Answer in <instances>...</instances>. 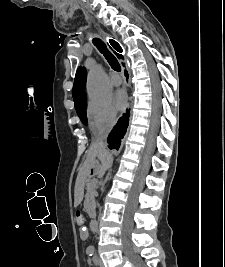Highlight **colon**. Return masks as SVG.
<instances>
[{
    "instance_id": "5ec220e1",
    "label": "colon",
    "mask_w": 225,
    "mask_h": 267,
    "mask_svg": "<svg viewBox=\"0 0 225 267\" xmlns=\"http://www.w3.org/2000/svg\"><path fill=\"white\" fill-rule=\"evenodd\" d=\"M75 221L78 226H82L84 224V217L80 212H76Z\"/></svg>"
}]
</instances>
